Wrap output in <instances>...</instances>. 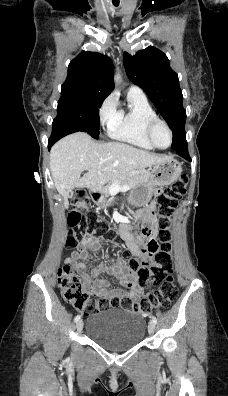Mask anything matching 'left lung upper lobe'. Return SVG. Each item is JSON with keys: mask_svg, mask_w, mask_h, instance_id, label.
Listing matches in <instances>:
<instances>
[{"mask_svg": "<svg viewBox=\"0 0 228 396\" xmlns=\"http://www.w3.org/2000/svg\"><path fill=\"white\" fill-rule=\"evenodd\" d=\"M128 78L149 96L173 132L172 148L182 157L188 152L185 135L186 111L177 74L170 68L167 56L149 46L134 56L123 55Z\"/></svg>", "mask_w": 228, "mask_h": 396, "instance_id": "left-lung-upper-lobe-1", "label": "left lung upper lobe"}]
</instances>
